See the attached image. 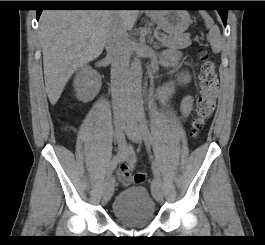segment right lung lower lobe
<instances>
[{
    "label": "right lung lower lobe",
    "instance_id": "1",
    "mask_svg": "<svg viewBox=\"0 0 265 245\" xmlns=\"http://www.w3.org/2000/svg\"><path fill=\"white\" fill-rule=\"evenodd\" d=\"M50 6H79V7H119L123 6L122 1H81L80 3H52ZM42 9L37 10V20L41 15Z\"/></svg>",
    "mask_w": 265,
    "mask_h": 245
}]
</instances>
